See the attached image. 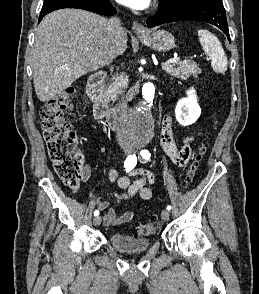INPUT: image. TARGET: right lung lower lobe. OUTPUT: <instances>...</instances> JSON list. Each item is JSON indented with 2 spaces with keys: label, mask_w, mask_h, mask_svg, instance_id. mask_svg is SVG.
Listing matches in <instances>:
<instances>
[{
  "label": "right lung lower lobe",
  "mask_w": 259,
  "mask_h": 294,
  "mask_svg": "<svg viewBox=\"0 0 259 294\" xmlns=\"http://www.w3.org/2000/svg\"><path fill=\"white\" fill-rule=\"evenodd\" d=\"M63 8H78V9H84L91 12H95L98 14H105V15H113L116 13L115 8L112 6L109 0H87V1H71V0H62L54 3L50 7H48L45 10H41L39 21L42 20V18L58 9Z\"/></svg>",
  "instance_id": "98d812e1"
}]
</instances>
